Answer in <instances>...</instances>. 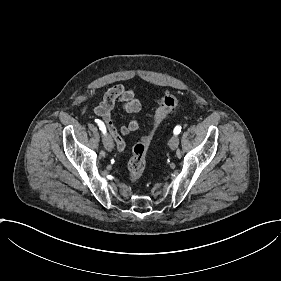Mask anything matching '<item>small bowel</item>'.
<instances>
[{
	"label": "small bowel",
	"instance_id": "obj_1",
	"mask_svg": "<svg viewBox=\"0 0 281 281\" xmlns=\"http://www.w3.org/2000/svg\"><path fill=\"white\" fill-rule=\"evenodd\" d=\"M95 94L93 93V95ZM115 104H120L127 113L135 115L119 131L115 128L111 120V110ZM140 110V101L136 97L135 91L124 84H117L109 88L105 93L104 99L94 108L95 114L104 122L110 137L115 141L119 149H124L126 146L123 136L129 135L140 126L141 120L138 117Z\"/></svg>",
	"mask_w": 281,
	"mask_h": 281
}]
</instances>
